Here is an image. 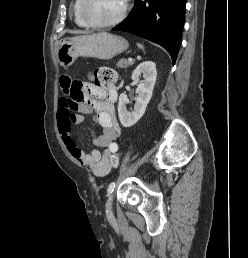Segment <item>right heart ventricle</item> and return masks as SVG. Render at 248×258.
<instances>
[{
    "mask_svg": "<svg viewBox=\"0 0 248 258\" xmlns=\"http://www.w3.org/2000/svg\"><path fill=\"white\" fill-rule=\"evenodd\" d=\"M73 17H74V21L77 25L81 26V27H86L87 25L85 24V22L83 21L80 12H79V0H75L74 4H73Z\"/></svg>",
    "mask_w": 248,
    "mask_h": 258,
    "instance_id": "right-heart-ventricle-1",
    "label": "right heart ventricle"
}]
</instances>
